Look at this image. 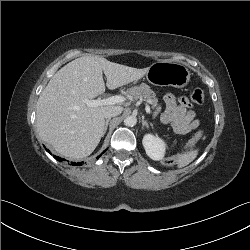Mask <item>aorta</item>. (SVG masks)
I'll return each mask as SVG.
<instances>
[{
	"label": "aorta",
	"instance_id": "obj_1",
	"mask_svg": "<svg viewBox=\"0 0 250 250\" xmlns=\"http://www.w3.org/2000/svg\"><path fill=\"white\" fill-rule=\"evenodd\" d=\"M137 123V118L134 115L127 116L124 120V124L128 127H133Z\"/></svg>",
	"mask_w": 250,
	"mask_h": 250
}]
</instances>
